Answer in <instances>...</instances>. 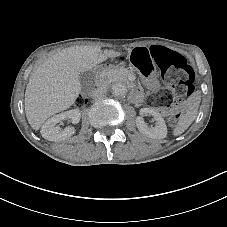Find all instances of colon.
Returning a JSON list of instances; mask_svg holds the SVG:
<instances>
[{
    "mask_svg": "<svg viewBox=\"0 0 227 227\" xmlns=\"http://www.w3.org/2000/svg\"><path fill=\"white\" fill-rule=\"evenodd\" d=\"M151 59L141 51L133 50L127 57H119L120 61L128 62L142 74L149 75L154 65L160 67L165 81L171 86L172 91L163 90L151 95L148 102L159 109H166L178 104L183 98L190 97L195 92V78L192 67L186 58L161 46L151 47ZM87 102L85 96L76 99V105L82 106ZM181 115V109L171 114L168 122L173 126Z\"/></svg>",
    "mask_w": 227,
    "mask_h": 227,
    "instance_id": "1",
    "label": "colon"
}]
</instances>
